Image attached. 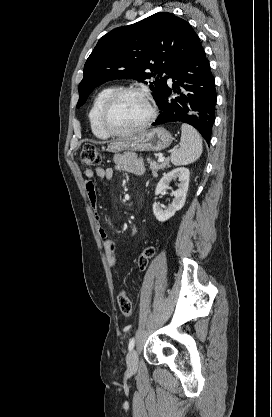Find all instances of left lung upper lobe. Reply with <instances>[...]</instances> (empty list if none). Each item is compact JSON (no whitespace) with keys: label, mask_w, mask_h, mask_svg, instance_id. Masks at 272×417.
<instances>
[{"label":"left lung upper lobe","mask_w":272,"mask_h":417,"mask_svg":"<svg viewBox=\"0 0 272 417\" xmlns=\"http://www.w3.org/2000/svg\"><path fill=\"white\" fill-rule=\"evenodd\" d=\"M199 48L190 24L168 12L113 29L98 41L84 65L77 108L97 86L128 78L146 84L151 79L149 87L157 103L173 69Z\"/></svg>","instance_id":"left-lung-upper-lobe-1"}]
</instances>
